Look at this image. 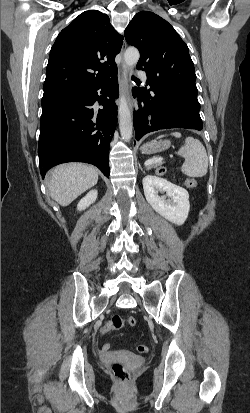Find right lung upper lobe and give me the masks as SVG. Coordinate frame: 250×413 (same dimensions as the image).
Masks as SVG:
<instances>
[{"mask_svg":"<svg viewBox=\"0 0 250 413\" xmlns=\"http://www.w3.org/2000/svg\"><path fill=\"white\" fill-rule=\"evenodd\" d=\"M123 37L97 10L83 12L63 29L51 48L44 95H58L94 86L116 70L115 56Z\"/></svg>","mask_w":250,"mask_h":413,"instance_id":"cb5924a9","label":"right lung upper lobe"}]
</instances>
